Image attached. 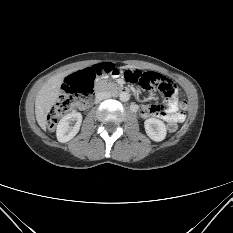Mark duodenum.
I'll list each match as a JSON object with an SVG mask.
<instances>
[{
  "instance_id": "obj_1",
  "label": "duodenum",
  "mask_w": 233,
  "mask_h": 233,
  "mask_svg": "<svg viewBox=\"0 0 233 233\" xmlns=\"http://www.w3.org/2000/svg\"><path fill=\"white\" fill-rule=\"evenodd\" d=\"M99 92L119 94L125 93L126 89L122 85L117 83L100 82L96 86V93Z\"/></svg>"
}]
</instances>
